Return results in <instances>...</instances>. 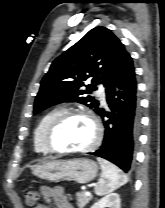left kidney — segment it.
<instances>
[{
    "mask_svg": "<svg viewBox=\"0 0 165 208\" xmlns=\"http://www.w3.org/2000/svg\"><path fill=\"white\" fill-rule=\"evenodd\" d=\"M121 208L120 197L117 193H110L97 201L91 208Z\"/></svg>",
    "mask_w": 165,
    "mask_h": 208,
    "instance_id": "5707ae66",
    "label": "left kidney"
}]
</instances>
